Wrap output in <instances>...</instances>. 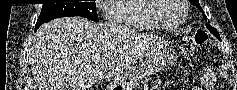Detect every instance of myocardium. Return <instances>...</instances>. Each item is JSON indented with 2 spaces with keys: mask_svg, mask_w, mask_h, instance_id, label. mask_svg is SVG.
Instances as JSON below:
<instances>
[{
  "mask_svg": "<svg viewBox=\"0 0 237 90\" xmlns=\"http://www.w3.org/2000/svg\"><path fill=\"white\" fill-rule=\"evenodd\" d=\"M188 0H174V2H163V0H150L148 5L151 8H148L146 14H149V18H153L159 28L165 31H178L185 24L187 13H188ZM178 4V5H177ZM169 9H182L183 16L179 23L173 26H167L161 22V20L157 17L160 12H168Z\"/></svg>",
  "mask_w": 237,
  "mask_h": 90,
  "instance_id": "f54148a6",
  "label": "myocardium"
}]
</instances>
